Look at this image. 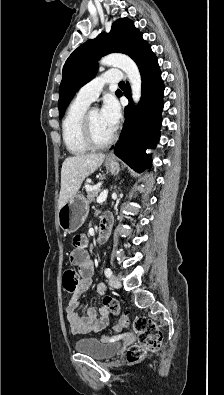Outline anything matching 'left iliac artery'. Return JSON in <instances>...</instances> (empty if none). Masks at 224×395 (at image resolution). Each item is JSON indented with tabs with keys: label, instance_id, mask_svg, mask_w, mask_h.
I'll list each match as a JSON object with an SVG mask.
<instances>
[{
	"label": "left iliac artery",
	"instance_id": "1",
	"mask_svg": "<svg viewBox=\"0 0 224 395\" xmlns=\"http://www.w3.org/2000/svg\"><path fill=\"white\" fill-rule=\"evenodd\" d=\"M104 273H105V276L108 278H110L112 276V271L110 268H105Z\"/></svg>",
	"mask_w": 224,
	"mask_h": 395
}]
</instances>
